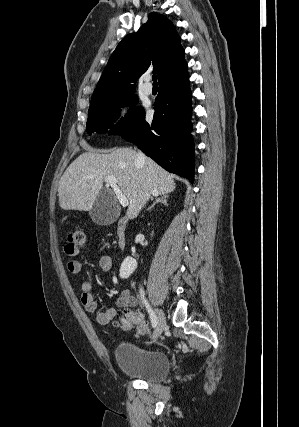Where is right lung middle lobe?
Returning a JSON list of instances; mask_svg holds the SVG:
<instances>
[{
  "instance_id": "1",
  "label": "right lung middle lobe",
  "mask_w": 299,
  "mask_h": 427,
  "mask_svg": "<svg viewBox=\"0 0 299 427\" xmlns=\"http://www.w3.org/2000/svg\"><path fill=\"white\" fill-rule=\"evenodd\" d=\"M135 91L123 93L116 96L102 98L91 102L87 120V131L122 135L132 130L141 120L144 111L141 107L131 108L124 118L116 125L114 122L119 118L120 107L133 106L137 103Z\"/></svg>"
}]
</instances>
